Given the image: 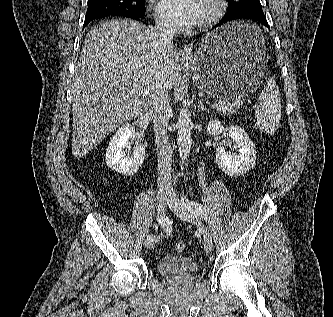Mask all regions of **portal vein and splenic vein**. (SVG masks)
Here are the masks:
<instances>
[{"label":"portal vein and splenic vein","mask_w":333,"mask_h":317,"mask_svg":"<svg viewBox=\"0 0 333 317\" xmlns=\"http://www.w3.org/2000/svg\"><path fill=\"white\" fill-rule=\"evenodd\" d=\"M215 104H222V102H218V101H215L214 102ZM232 105H238L240 106V100H236L234 103H232ZM258 106L254 105L253 108H257Z\"/></svg>","instance_id":"18ae733b"}]
</instances>
